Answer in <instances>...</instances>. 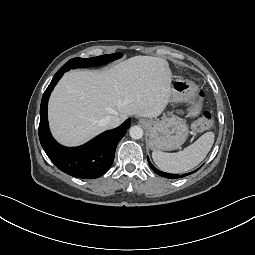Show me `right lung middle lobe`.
Returning <instances> with one entry per match:
<instances>
[{
	"instance_id": "obj_1",
	"label": "right lung middle lobe",
	"mask_w": 255,
	"mask_h": 255,
	"mask_svg": "<svg viewBox=\"0 0 255 255\" xmlns=\"http://www.w3.org/2000/svg\"><path fill=\"white\" fill-rule=\"evenodd\" d=\"M122 57L121 53H113L108 55H101L98 57H92V58H73L69 60L67 63H65L60 69H74L78 67H94V66H100L107 62L119 59Z\"/></svg>"
}]
</instances>
